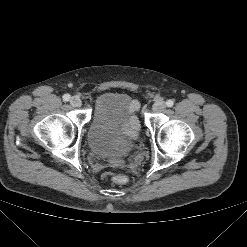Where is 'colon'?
I'll use <instances>...</instances> for the list:
<instances>
[{
	"label": "colon",
	"mask_w": 247,
	"mask_h": 247,
	"mask_svg": "<svg viewBox=\"0 0 247 247\" xmlns=\"http://www.w3.org/2000/svg\"><path fill=\"white\" fill-rule=\"evenodd\" d=\"M113 181L118 185H124L128 182V177L123 174H118L113 177Z\"/></svg>",
	"instance_id": "1"
}]
</instances>
